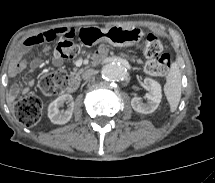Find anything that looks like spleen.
<instances>
[{"mask_svg":"<svg viewBox=\"0 0 215 183\" xmlns=\"http://www.w3.org/2000/svg\"><path fill=\"white\" fill-rule=\"evenodd\" d=\"M181 91V72L178 65L173 64L166 77V84L164 85V93L170 104L171 112L177 109L181 98Z\"/></svg>","mask_w":215,"mask_h":183,"instance_id":"obj_1","label":"spleen"}]
</instances>
